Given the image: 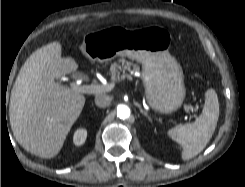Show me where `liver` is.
<instances>
[{
    "mask_svg": "<svg viewBox=\"0 0 245 187\" xmlns=\"http://www.w3.org/2000/svg\"><path fill=\"white\" fill-rule=\"evenodd\" d=\"M77 69L74 58L62 57L57 41L37 49L21 67L11 91L9 116L16 141L28 152L50 159L62 149L86 99L56 79Z\"/></svg>",
    "mask_w": 245,
    "mask_h": 187,
    "instance_id": "6515ba94",
    "label": "liver"
}]
</instances>
